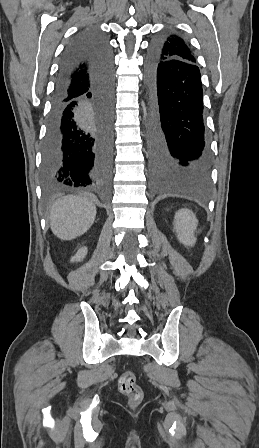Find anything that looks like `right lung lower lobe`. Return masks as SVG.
<instances>
[{
	"label": "right lung lower lobe",
	"mask_w": 259,
	"mask_h": 448,
	"mask_svg": "<svg viewBox=\"0 0 259 448\" xmlns=\"http://www.w3.org/2000/svg\"><path fill=\"white\" fill-rule=\"evenodd\" d=\"M84 67L85 87L71 83ZM114 76L108 39L95 28L72 39L60 61L47 133L42 177L49 186L106 185L113 159Z\"/></svg>",
	"instance_id": "obj_1"
}]
</instances>
